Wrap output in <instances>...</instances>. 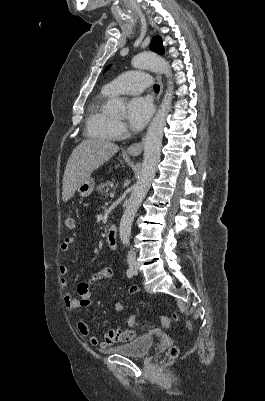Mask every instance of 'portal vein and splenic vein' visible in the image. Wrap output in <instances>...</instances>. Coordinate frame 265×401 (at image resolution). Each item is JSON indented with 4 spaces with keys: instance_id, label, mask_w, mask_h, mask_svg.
Masks as SVG:
<instances>
[{
    "instance_id": "1",
    "label": "portal vein and splenic vein",
    "mask_w": 265,
    "mask_h": 401,
    "mask_svg": "<svg viewBox=\"0 0 265 401\" xmlns=\"http://www.w3.org/2000/svg\"><path fill=\"white\" fill-rule=\"evenodd\" d=\"M115 196V193L114 192H111L110 194H109V197L110 198H113Z\"/></svg>"
}]
</instances>
